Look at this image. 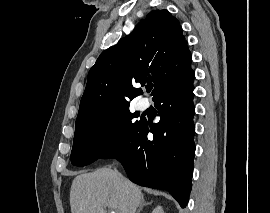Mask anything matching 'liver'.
I'll return each mask as SVG.
<instances>
[{
	"mask_svg": "<svg viewBox=\"0 0 270 213\" xmlns=\"http://www.w3.org/2000/svg\"><path fill=\"white\" fill-rule=\"evenodd\" d=\"M143 200L140 188L111 168L76 176L70 189L71 213H136Z\"/></svg>",
	"mask_w": 270,
	"mask_h": 213,
	"instance_id": "6515ba94",
	"label": "liver"
}]
</instances>
